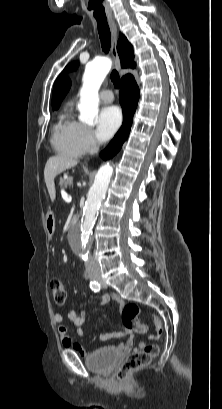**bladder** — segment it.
I'll return each instance as SVG.
<instances>
[{
  "label": "bladder",
  "instance_id": "obj_1",
  "mask_svg": "<svg viewBox=\"0 0 222 409\" xmlns=\"http://www.w3.org/2000/svg\"><path fill=\"white\" fill-rule=\"evenodd\" d=\"M120 353L115 347H105L89 354L85 359L87 368L96 374H109L118 361Z\"/></svg>",
  "mask_w": 222,
  "mask_h": 409
}]
</instances>
